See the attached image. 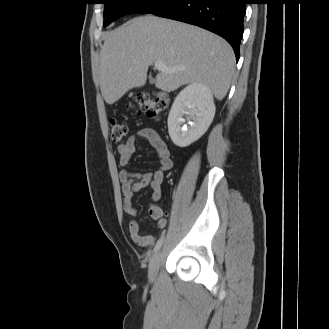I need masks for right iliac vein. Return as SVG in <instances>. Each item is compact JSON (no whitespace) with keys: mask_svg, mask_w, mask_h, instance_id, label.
I'll use <instances>...</instances> for the list:
<instances>
[{"mask_svg":"<svg viewBox=\"0 0 329 329\" xmlns=\"http://www.w3.org/2000/svg\"><path fill=\"white\" fill-rule=\"evenodd\" d=\"M161 259V252L158 251L150 260L148 268V279L153 282L157 276L159 264Z\"/></svg>","mask_w":329,"mask_h":329,"instance_id":"right-iliac-vein-1","label":"right iliac vein"}]
</instances>
